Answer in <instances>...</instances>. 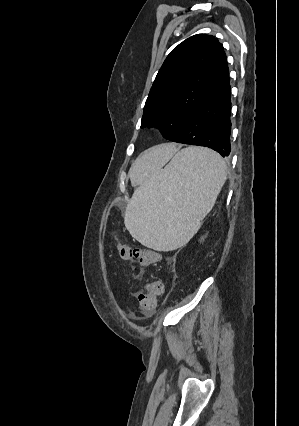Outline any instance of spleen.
I'll return each mask as SVG.
<instances>
[{"label": "spleen", "instance_id": "1", "mask_svg": "<svg viewBox=\"0 0 299 426\" xmlns=\"http://www.w3.org/2000/svg\"><path fill=\"white\" fill-rule=\"evenodd\" d=\"M227 179L223 159L214 151L187 147L164 169L145 177L128 202L124 224L142 245L171 251L194 235L213 208Z\"/></svg>", "mask_w": 299, "mask_h": 426}]
</instances>
